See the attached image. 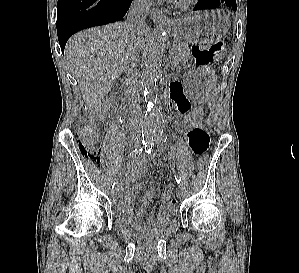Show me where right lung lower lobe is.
<instances>
[{
	"instance_id": "right-lung-lower-lobe-1",
	"label": "right lung lower lobe",
	"mask_w": 299,
	"mask_h": 273,
	"mask_svg": "<svg viewBox=\"0 0 299 273\" xmlns=\"http://www.w3.org/2000/svg\"><path fill=\"white\" fill-rule=\"evenodd\" d=\"M132 0H58L57 34L62 52L79 30L120 21Z\"/></svg>"
}]
</instances>
